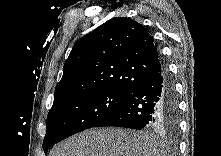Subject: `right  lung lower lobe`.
I'll use <instances>...</instances> for the list:
<instances>
[{
    "label": "right lung lower lobe",
    "instance_id": "1",
    "mask_svg": "<svg viewBox=\"0 0 221 156\" xmlns=\"http://www.w3.org/2000/svg\"><path fill=\"white\" fill-rule=\"evenodd\" d=\"M178 124V99L169 72L164 68L142 82L124 104L97 126L177 132Z\"/></svg>",
    "mask_w": 221,
    "mask_h": 156
}]
</instances>
